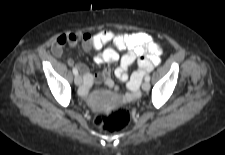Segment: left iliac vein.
<instances>
[{
    "label": "left iliac vein",
    "mask_w": 225,
    "mask_h": 155,
    "mask_svg": "<svg viewBox=\"0 0 225 155\" xmlns=\"http://www.w3.org/2000/svg\"><path fill=\"white\" fill-rule=\"evenodd\" d=\"M142 89L144 91H148L150 89V83L149 81H144L143 84H142Z\"/></svg>",
    "instance_id": "left-iliac-vein-1"
}]
</instances>
